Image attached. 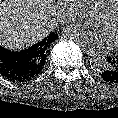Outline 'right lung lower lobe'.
Listing matches in <instances>:
<instances>
[{
	"mask_svg": "<svg viewBox=\"0 0 118 118\" xmlns=\"http://www.w3.org/2000/svg\"><path fill=\"white\" fill-rule=\"evenodd\" d=\"M35 53L30 49L11 52L0 46V74L10 81L25 82L41 71L36 69Z\"/></svg>",
	"mask_w": 118,
	"mask_h": 118,
	"instance_id": "right-lung-lower-lobe-1",
	"label": "right lung lower lobe"
}]
</instances>
